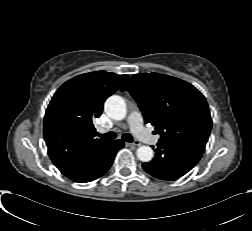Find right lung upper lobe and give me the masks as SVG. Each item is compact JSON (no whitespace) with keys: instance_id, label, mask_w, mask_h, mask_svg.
Segmentation results:
<instances>
[{"instance_id":"right-lung-upper-lobe-1","label":"right lung upper lobe","mask_w":252,"mask_h":231,"mask_svg":"<svg viewBox=\"0 0 252 231\" xmlns=\"http://www.w3.org/2000/svg\"><path fill=\"white\" fill-rule=\"evenodd\" d=\"M127 78L90 72L68 80L54 94L44 118V139L52 162L69 179L80 177L91 155L109 144L95 138L92 120Z\"/></svg>"}]
</instances>
